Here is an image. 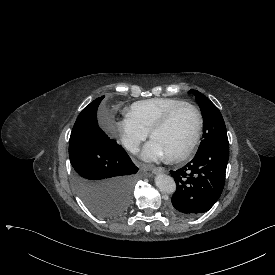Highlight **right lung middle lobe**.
Listing matches in <instances>:
<instances>
[{
    "label": "right lung middle lobe",
    "instance_id": "obj_1",
    "mask_svg": "<svg viewBox=\"0 0 275 275\" xmlns=\"http://www.w3.org/2000/svg\"><path fill=\"white\" fill-rule=\"evenodd\" d=\"M104 96L79 114L69 140L73 183L89 209L101 217L125 212L141 178L126 151L98 126L97 108Z\"/></svg>",
    "mask_w": 275,
    "mask_h": 275
}]
</instances>
